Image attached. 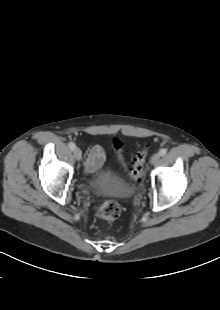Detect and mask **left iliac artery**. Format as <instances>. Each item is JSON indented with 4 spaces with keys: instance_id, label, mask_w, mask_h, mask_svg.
<instances>
[{
    "instance_id": "obj_1",
    "label": "left iliac artery",
    "mask_w": 220,
    "mask_h": 310,
    "mask_svg": "<svg viewBox=\"0 0 220 310\" xmlns=\"http://www.w3.org/2000/svg\"><path fill=\"white\" fill-rule=\"evenodd\" d=\"M166 153H167V149H166V148H162V149L160 150V152H159V154H160L161 156L166 155Z\"/></svg>"
}]
</instances>
